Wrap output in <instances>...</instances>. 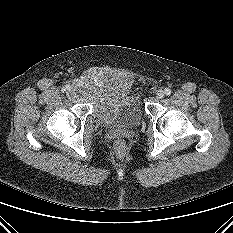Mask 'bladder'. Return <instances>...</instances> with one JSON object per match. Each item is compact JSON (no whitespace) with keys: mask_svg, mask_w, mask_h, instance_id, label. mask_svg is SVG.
<instances>
[{"mask_svg":"<svg viewBox=\"0 0 233 233\" xmlns=\"http://www.w3.org/2000/svg\"><path fill=\"white\" fill-rule=\"evenodd\" d=\"M75 92L92 102V116L111 128L138 126L144 118L139 92L126 74L97 70L82 75L74 85Z\"/></svg>","mask_w":233,"mask_h":233,"instance_id":"obj_1","label":"bladder"}]
</instances>
